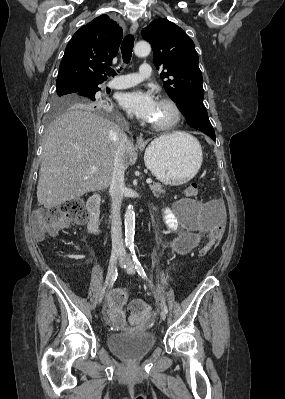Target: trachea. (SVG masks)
Here are the masks:
<instances>
[{"label":"trachea","instance_id":"obj_1","mask_svg":"<svg viewBox=\"0 0 285 399\" xmlns=\"http://www.w3.org/2000/svg\"><path fill=\"white\" fill-rule=\"evenodd\" d=\"M133 46H134V36L133 35L125 36L121 44V52L124 63H128L131 60ZM107 75L114 77L116 75V72L110 68L107 70Z\"/></svg>","mask_w":285,"mask_h":399}]
</instances>
